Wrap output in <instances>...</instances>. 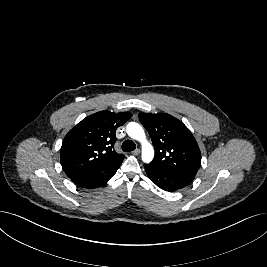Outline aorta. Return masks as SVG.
I'll return each mask as SVG.
<instances>
[{
  "label": "aorta",
  "mask_w": 267,
  "mask_h": 267,
  "mask_svg": "<svg viewBox=\"0 0 267 267\" xmlns=\"http://www.w3.org/2000/svg\"><path fill=\"white\" fill-rule=\"evenodd\" d=\"M127 134L139 141L142 145V160L144 163H150L154 157L153 146L147 141L143 128L135 122H130L126 127Z\"/></svg>",
  "instance_id": "obj_1"
}]
</instances>
